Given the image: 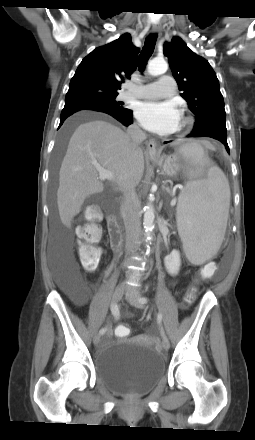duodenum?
<instances>
[{
	"label": "duodenum",
	"mask_w": 255,
	"mask_h": 440,
	"mask_svg": "<svg viewBox=\"0 0 255 440\" xmlns=\"http://www.w3.org/2000/svg\"><path fill=\"white\" fill-rule=\"evenodd\" d=\"M108 231L111 243L116 251L119 250L122 242V233L118 226L117 220L114 216H109L107 219Z\"/></svg>",
	"instance_id": "duodenum-1"
}]
</instances>
